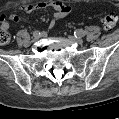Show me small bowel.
<instances>
[{"mask_svg":"<svg viewBox=\"0 0 119 119\" xmlns=\"http://www.w3.org/2000/svg\"><path fill=\"white\" fill-rule=\"evenodd\" d=\"M47 8H51L53 10V15H52V20L50 22V27H53L55 24V21L66 17L67 15L70 14L71 12V8L69 5H67L66 3L62 2V1H40V2H36V3H26L23 4L20 9L21 11L25 12V13H32L35 12L37 10H44ZM10 19L13 22H20L22 20V18L17 15V14H13L10 16ZM1 26L4 29H9V22L2 17L1 18Z\"/></svg>","mask_w":119,"mask_h":119,"instance_id":"1","label":"small bowel"}]
</instances>
